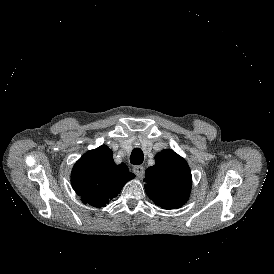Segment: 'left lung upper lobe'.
I'll list each match as a JSON object with an SVG mask.
<instances>
[{
    "instance_id": "obj_1",
    "label": "left lung upper lobe",
    "mask_w": 274,
    "mask_h": 274,
    "mask_svg": "<svg viewBox=\"0 0 274 274\" xmlns=\"http://www.w3.org/2000/svg\"><path fill=\"white\" fill-rule=\"evenodd\" d=\"M155 161L145 172L148 197L164 209L180 208L187 202L192 185L187 162L170 149L158 153Z\"/></svg>"
}]
</instances>
